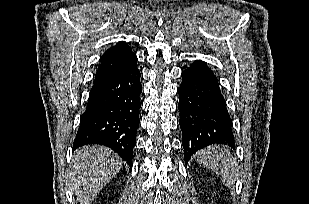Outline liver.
<instances>
[{
  "label": "liver",
  "instance_id": "obj_1",
  "mask_svg": "<svg viewBox=\"0 0 309 204\" xmlns=\"http://www.w3.org/2000/svg\"><path fill=\"white\" fill-rule=\"evenodd\" d=\"M122 159L107 147L89 145L72 158L71 187L81 204H90L122 167Z\"/></svg>",
  "mask_w": 309,
  "mask_h": 204
}]
</instances>
